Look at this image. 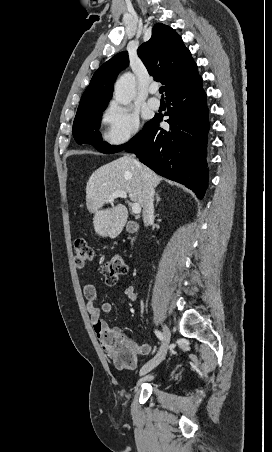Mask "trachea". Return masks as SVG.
Listing matches in <instances>:
<instances>
[{"label":"trachea","instance_id":"obj_1","mask_svg":"<svg viewBox=\"0 0 272 452\" xmlns=\"http://www.w3.org/2000/svg\"><path fill=\"white\" fill-rule=\"evenodd\" d=\"M159 93H160V94H163V86H161V87L159 88Z\"/></svg>","mask_w":272,"mask_h":452}]
</instances>
